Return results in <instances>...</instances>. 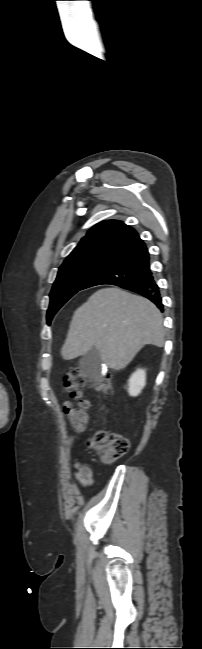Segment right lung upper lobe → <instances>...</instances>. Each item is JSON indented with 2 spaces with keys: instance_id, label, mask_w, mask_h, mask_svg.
Wrapping results in <instances>:
<instances>
[{
  "instance_id": "obj_1",
  "label": "right lung upper lobe",
  "mask_w": 202,
  "mask_h": 649,
  "mask_svg": "<svg viewBox=\"0 0 202 649\" xmlns=\"http://www.w3.org/2000/svg\"><path fill=\"white\" fill-rule=\"evenodd\" d=\"M141 242L132 227L118 220H105L92 227L68 257L89 252L117 255Z\"/></svg>"
}]
</instances>
